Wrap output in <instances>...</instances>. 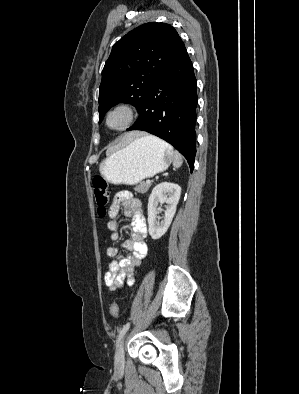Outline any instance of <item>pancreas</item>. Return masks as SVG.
Instances as JSON below:
<instances>
[{
	"instance_id": "obj_1",
	"label": "pancreas",
	"mask_w": 299,
	"mask_h": 394,
	"mask_svg": "<svg viewBox=\"0 0 299 394\" xmlns=\"http://www.w3.org/2000/svg\"><path fill=\"white\" fill-rule=\"evenodd\" d=\"M149 187H150V184L142 182L135 187V191L138 193L144 194L148 191Z\"/></svg>"
}]
</instances>
